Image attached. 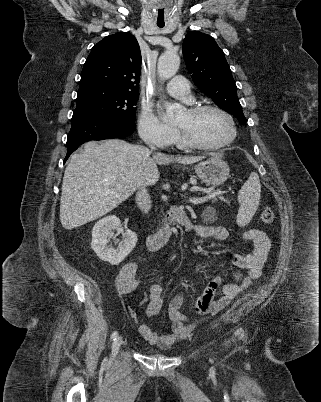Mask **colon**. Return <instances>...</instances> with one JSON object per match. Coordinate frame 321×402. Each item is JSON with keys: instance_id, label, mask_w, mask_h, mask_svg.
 <instances>
[{"instance_id": "obj_1", "label": "colon", "mask_w": 321, "mask_h": 402, "mask_svg": "<svg viewBox=\"0 0 321 402\" xmlns=\"http://www.w3.org/2000/svg\"><path fill=\"white\" fill-rule=\"evenodd\" d=\"M274 217V211L271 207L267 206L263 209L261 213V220L265 224L272 223L274 221ZM211 303L212 300L204 301L197 305L196 310L198 311V313H206L210 309Z\"/></svg>"}]
</instances>
